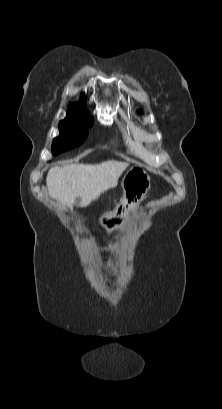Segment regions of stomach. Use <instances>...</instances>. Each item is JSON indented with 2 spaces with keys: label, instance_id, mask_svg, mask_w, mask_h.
Segmentation results:
<instances>
[{
  "label": "stomach",
  "instance_id": "0dacf381",
  "mask_svg": "<svg viewBox=\"0 0 222 409\" xmlns=\"http://www.w3.org/2000/svg\"><path fill=\"white\" fill-rule=\"evenodd\" d=\"M123 198L115 211L101 217L100 223L112 233L119 229L147 195L151 181L148 173L140 167L130 168L121 183Z\"/></svg>",
  "mask_w": 222,
  "mask_h": 409
}]
</instances>
